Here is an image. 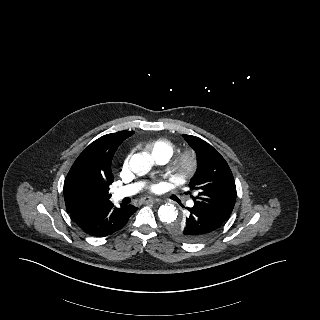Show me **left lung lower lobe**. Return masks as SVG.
<instances>
[{
  "instance_id": "left-lung-lower-lobe-1",
  "label": "left lung lower lobe",
  "mask_w": 320,
  "mask_h": 320,
  "mask_svg": "<svg viewBox=\"0 0 320 320\" xmlns=\"http://www.w3.org/2000/svg\"><path fill=\"white\" fill-rule=\"evenodd\" d=\"M188 210L190 214L184 220L186 230L188 234L198 239V241L211 236L225 222L196 205L188 208Z\"/></svg>"
}]
</instances>
